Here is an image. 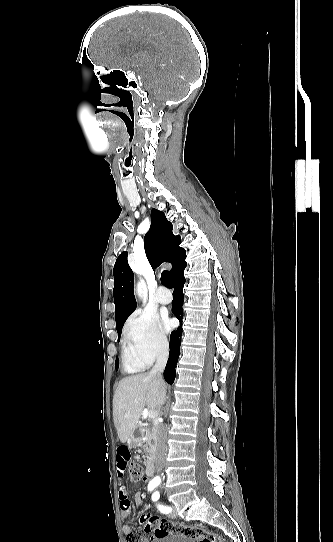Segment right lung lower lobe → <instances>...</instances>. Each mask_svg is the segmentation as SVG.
<instances>
[{
    "mask_svg": "<svg viewBox=\"0 0 333 542\" xmlns=\"http://www.w3.org/2000/svg\"><path fill=\"white\" fill-rule=\"evenodd\" d=\"M186 252L183 249L175 258L172 263L173 268L170 270L172 277V285L174 288L173 291V302H172V313L178 318L179 321L182 320V304H183V286L185 283V278L183 275L184 269L186 267ZM182 335V327L179 326L177 330L173 331L170 336V352L167 365L164 371V378L169 384H173L176 376V364L179 358L180 350V338Z\"/></svg>",
    "mask_w": 333,
    "mask_h": 542,
    "instance_id": "1",
    "label": "right lung lower lobe"
}]
</instances>
